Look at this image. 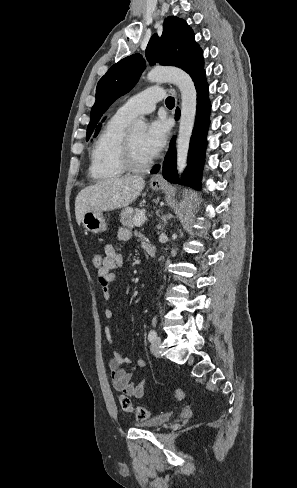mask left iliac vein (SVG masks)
Here are the masks:
<instances>
[{"mask_svg":"<svg viewBox=\"0 0 297 488\" xmlns=\"http://www.w3.org/2000/svg\"><path fill=\"white\" fill-rule=\"evenodd\" d=\"M160 346H161V339L157 337L151 344L150 350L152 354L156 357H160Z\"/></svg>","mask_w":297,"mask_h":488,"instance_id":"4c4485c4","label":"left iliac vein"}]
</instances>
